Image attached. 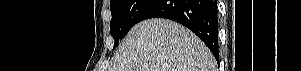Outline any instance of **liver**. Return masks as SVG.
Here are the masks:
<instances>
[{
  "instance_id": "liver-1",
  "label": "liver",
  "mask_w": 301,
  "mask_h": 71,
  "mask_svg": "<svg viewBox=\"0 0 301 71\" xmlns=\"http://www.w3.org/2000/svg\"><path fill=\"white\" fill-rule=\"evenodd\" d=\"M109 71H216V61L209 48L184 26L149 19L128 32Z\"/></svg>"
}]
</instances>
